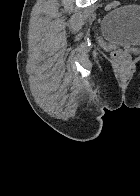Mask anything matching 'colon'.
Returning <instances> with one entry per match:
<instances>
[{
  "mask_svg": "<svg viewBox=\"0 0 140 196\" xmlns=\"http://www.w3.org/2000/svg\"><path fill=\"white\" fill-rule=\"evenodd\" d=\"M120 6L118 1H111L107 3L106 10H114ZM112 58L114 62L120 67L125 68L130 62V54L127 50L118 48L113 51Z\"/></svg>",
  "mask_w": 140,
  "mask_h": 196,
  "instance_id": "5ec220e1",
  "label": "colon"
}]
</instances>
